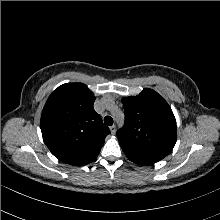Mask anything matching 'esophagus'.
Returning a JSON list of instances; mask_svg holds the SVG:
<instances>
[{
	"label": "esophagus",
	"instance_id": "34e87169",
	"mask_svg": "<svg viewBox=\"0 0 220 220\" xmlns=\"http://www.w3.org/2000/svg\"><path fill=\"white\" fill-rule=\"evenodd\" d=\"M110 131H111V134H115V132H116V126H115V125H112V126L110 127Z\"/></svg>",
	"mask_w": 220,
	"mask_h": 220
}]
</instances>
